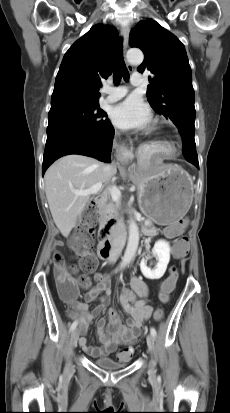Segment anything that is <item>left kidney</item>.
Segmentation results:
<instances>
[{
  "instance_id": "1",
  "label": "left kidney",
  "mask_w": 230,
  "mask_h": 413,
  "mask_svg": "<svg viewBox=\"0 0 230 413\" xmlns=\"http://www.w3.org/2000/svg\"><path fill=\"white\" fill-rule=\"evenodd\" d=\"M152 254L158 259L155 269L147 267V259H142L140 263V269L142 274L151 280L160 279L170 261V245L165 240H158L152 250Z\"/></svg>"
}]
</instances>
